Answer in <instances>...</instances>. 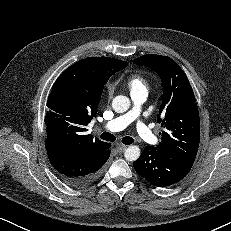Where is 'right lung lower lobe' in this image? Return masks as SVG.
<instances>
[{"mask_svg":"<svg viewBox=\"0 0 231 231\" xmlns=\"http://www.w3.org/2000/svg\"><path fill=\"white\" fill-rule=\"evenodd\" d=\"M111 144L106 149L89 156H72L54 147L46 145L50 163L58 176L67 185L83 187L92 183L103 170V165L110 157Z\"/></svg>","mask_w":231,"mask_h":231,"instance_id":"1","label":"right lung lower lobe"}]
</instances>
